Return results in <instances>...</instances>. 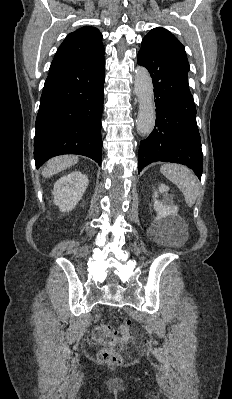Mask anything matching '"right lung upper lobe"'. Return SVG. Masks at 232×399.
<instances>
[{
	"instance_id": "1",
	"label": "right lung upper lobe",
	"mask_w": 232,
	"mask_h": 399,
	"mask_svg": "<svg viewBox=\"0 0 232 399\" xmlns=\"http://www.w3.org/2000/svg\"><path fill=\"white\" fill-rule=\"evenodd\" d=\"M104 52L100 31L85 26L67 35L57 50L54 60L93 58Z\"/></svg>"
}]
</instances>
